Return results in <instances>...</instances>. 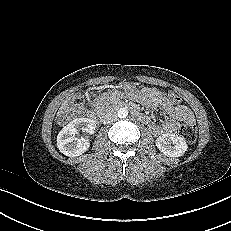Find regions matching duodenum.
Returning a JSON list of instances; mask_svg holds the SVG:
<instances>
[{
  "instance_id": "1",
  "label": "duodenum",
  "mask_w": 231,
  "mask_h": 231,
  "mask_svg": "<svg viewBox=\"0 0 231 231\" xmlns=\"http://www.w3.org/2000/svg\"><path fill=\"white\" fill-rule=\"evenodd\" d=\"M121 108H131V109H133V106L128 104V103L120 101V102L115 103L113 106H105V107L99 108L96 114H94V113L91 114V119L93 121L97 122V123H100L107 117V115L112 110L121 109ZM134 114H135L136 118H138L140 120L143 119V116L141 114H139L138 112L134 111Z\"/></svg>"
}]
</instances>
